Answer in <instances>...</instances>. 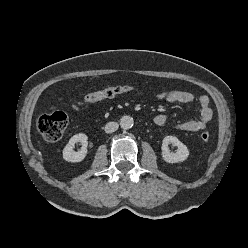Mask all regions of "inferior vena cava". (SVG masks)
<instances>
[{
  "mask_svg": "<svg viewBox=\"0 0 248 248\" xmlns=\"http://www.w3.org/2000/svg\"><path fill=\"white\" fill-rule=\"evenodd\" d=\"M119 125L117 122H109L105 125L104 130L106 133H113L118 129Z\"/></svg>",
  "mask_w": 248,
  "mask_h": 248,
  "instance_id": "inferior-vena-cava-1",
  "label": "inferior vena cava"
}]
</instances>
